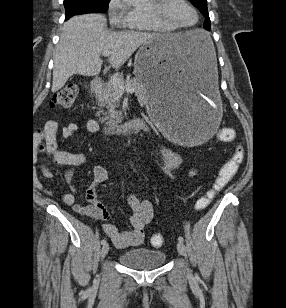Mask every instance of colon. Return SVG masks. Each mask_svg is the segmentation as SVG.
I'll return each instance as SVG.
<instances>
[{
  "label": "colon",
  "instance_id": "5ec220e1",
  "mask_svg": "<svg viewBox=\"0 0 286 308\" xmlns=\"http://www.w3.org/2000/svg\"><path fill=\"white\" fill-rule=\"evenodd\" d=\"M77 94L78 87L76 85L65 86L54 95L51 101V106L62 109H70L75 103ZM218 138L225 143L233 142L236 138V131L234 128L224 127L219 130ZM39 148L42 151L50 150L48 146H45L42 143H40ZM242 161L243 150L238 147L230 156V158L221 166L211 190H209L205 196L197 201V209L206 207L214 195L232 181V179L237 174ZM151 244L153 247H162L164 245V237L160 234L153 235L151 237Z\"/></svg>",
  "mask_w": 286,
  "mask_h": 308
}]
</instances>
